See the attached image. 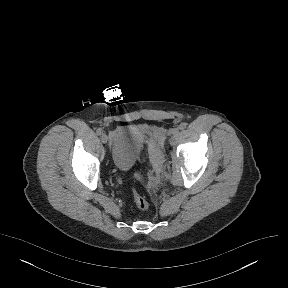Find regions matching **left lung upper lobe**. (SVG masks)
I'll list each match as a JSON object with an SVG mask.
<instances>
[{
  "label": "left lung upper lobe",
  "mask_w": 288,
  "mask_h": 288,
  "mask_svg": "<svg viewBox=\"0 0 288 288\" xmlns=\"http://www.w3.org/2000/svg\"><path fill=\"white\" fill-rule=\"evenodd\" d=\"M258 215H259V212H258V211L252 213V214L250 215V221H251V220L254 221V220L257 218Z\"/></svg>",
  "instance_id": "obj_1"
}]
</instances>
